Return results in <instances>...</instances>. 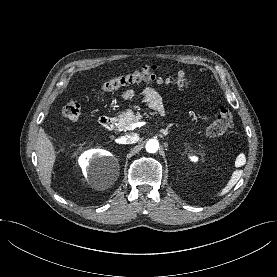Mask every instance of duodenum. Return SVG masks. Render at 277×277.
<instances>
[{"mask_svg":"<svg viewBox=\"0 0 277 277\" xmlns=\"http://www.w3.org/2000/svg\"><path fill=\"white\" fill-rule=\"evenodd\" d=\"M99 123L103 128L111 130L114 127L115 118L112 115L102 116Z\"/></svg>","mask_w":277,"mask_h":277,"instance_id":"410a0bca","label":"duodenum"}]
</instances>
